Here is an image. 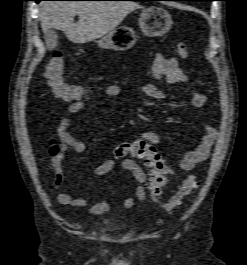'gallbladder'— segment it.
Returning a JSON list of instances; mask_svg holds the SVG:
<instances>
[{"label":"gallbladder","mask_w":247,"mask_h":265,"mask_svg":"<svg viewBox=\"0 0 247 265\" xmlns=\"http://www.w3.org/2000/svg\"><path fill=\"white\" fill-rule=\"evenodd\" d=\"M44 39L48 49H53L58 43V35L56 31L52 28L45 30Z\"/></svg>","instance_id":"bac80fb5"}]
</instances>
